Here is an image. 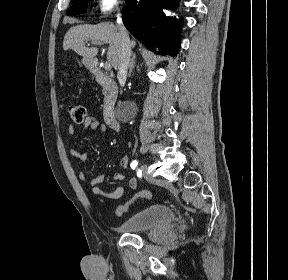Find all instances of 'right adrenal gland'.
<instances>
[{
	"label": "right adrenal gland",
	"mask_w": 288,
	"mask_h": 280,
	"mask_svg": "<svg viewBox=\"0 0 288 280\" xmlns=\"http://www.w3.org/2000/svg\"><path fill=\"white\" fill-rule=\"evenodd\" d=\"M135 58H136V55L133 54V55H132V58H131V60H130V64H129V76L131 75L132 70H133V68L135 67Z\"/></svg>",
	"instance_id": "2a0ac1e0"
}]
</instances>
